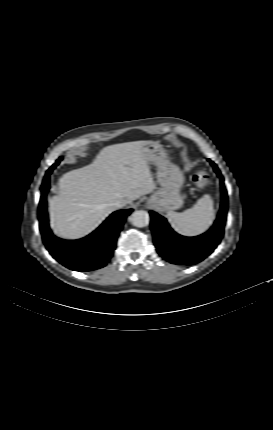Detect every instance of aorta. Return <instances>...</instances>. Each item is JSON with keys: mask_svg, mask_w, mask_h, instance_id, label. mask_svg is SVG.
<instances>
[{"mask_svg": "<svg viewBox=\"0 0 273 430\" xmlns=\"http://www.w3.org/2000/svg\"><path fill=\"white\" fill-rule=\"evenodd\" d=\"M130 221L132 225L136 227H145L149 224L150 216L144 210L134 211L130 217Z\"/></svg>", "mask_w": 273, "mask_h": 430, "instance_id": "aorta-1", "label": "aorta"}]
</instances>
